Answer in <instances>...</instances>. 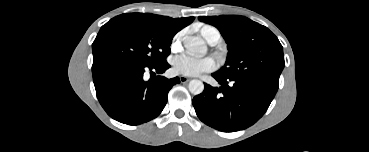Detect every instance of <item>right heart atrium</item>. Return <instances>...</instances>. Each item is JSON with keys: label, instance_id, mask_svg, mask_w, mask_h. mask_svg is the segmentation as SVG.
I'll use <instances>...</instances> for the list:
<instances>
[{"label": "right heart atrium", "instance_id": "d8ad5b80", "mask_svg": "<svg viewBox=\"0 0 369 152\" xmlns=\"http://www.w3.org/2000/svg\"><path fill=\"white\" fill-rule=\"evenodd\" d=\"M182 33H178L172 40L171 47L173 50H179L181 44Z\"/></svg>", "mask_w": 369, "mask_h": 152}]
</instances>
